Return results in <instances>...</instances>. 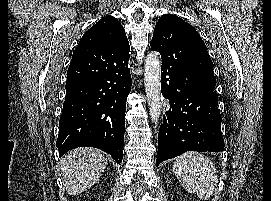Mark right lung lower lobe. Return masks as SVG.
<instances>
[{
  "label": "right lung lower lobe",
  "instance_id": "right-lung-lower-lobe-1",
  "mask_svg": "<svg viewBox=\"0 0 271 201\" xmlns=\"http://www.w3.org/2000/svg\"><path fill=\"white\" fill-rule=\"evenodd\" d=\"M130 91L129 57L109 46L77 45L59 121V156L77 147H95L121 163Z\"/></svg>",
  "mask_w": 271,
  "mask_h": 201
}]
</instances>
